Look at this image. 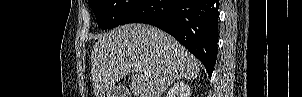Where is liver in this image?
<instances>
[{
	"label": "liver",
	"instance_id": "1",
	"mask_svg": "<svg viewBox=\"0 0 302 97\" xmlns=\"http://www.w3.org/2000/svg\"><path fill=\"white\" fill-rule=\"evenodd\" d=\"M95 97H107L115 83L137 67L130 89L135 97H161L176 80L195 79L199 62L171 35L145 24H126L101 35L91 52Z\"/></svg>",
	"mask_w": 302,
	"mask_h": 97
}]
</instances>
